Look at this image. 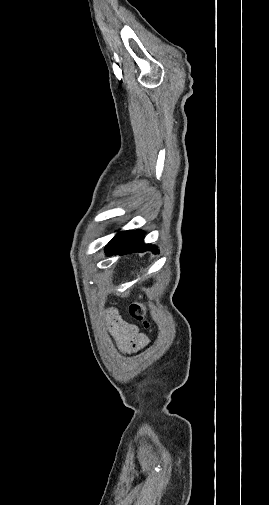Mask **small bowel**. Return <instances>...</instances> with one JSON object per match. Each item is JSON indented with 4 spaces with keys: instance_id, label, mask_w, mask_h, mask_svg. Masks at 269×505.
Listing matches in <instances>:
<instances>
[{
    "instance_id": "c3829d8e",
    "label": "small bowel",
    "mask_w": 269,
    "mask_h": 505,
    "mask_svg": "<svg viewBox=\"0 0 269 505\" xmlns=\"http://www.w3.org/2000/svg\"><path fill=\"white\" fill-rule=\"evenodd\" d=\"M108 320L110 331L123 351H137L147 344V337L136 325L125 320L116 309L108 311Z\"/></svg>"
}]
</instances>
